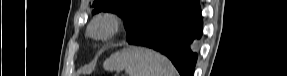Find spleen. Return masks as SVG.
<instances>
[{"instance_id":"1","label":"spleen","mask_w":287,"mask_h":76,"mask_svg":"<svg viewBox=\"0 0 287 76\" xmlns=\"http://www.w3.org/2000/svg\"><path fill=\"white\" fill-rule=\"evenodd\" d=\"M103 66L107 71L125 69L129 76H176L174 66L166 57L136 46L112 54Z\"/></svg>"}]
</instances>
